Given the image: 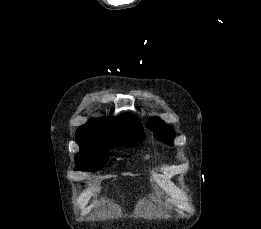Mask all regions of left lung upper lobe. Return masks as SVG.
Listing matches in <instances>:
<instances>
[{"instance_id":"obj_1","label":"left lung upper lobe","mask_w":261,"mask_h":229,"mask_svg":"<svg viewBox=\"0 0 261 229\" xmlns=\"http://www.w3.org/2000/svg\"><path fill=\"white\" fill-rule=\"evenodd\" d=\"M149 126L159 140L173 145L172 139L175 137V132L172 127L166 125L158 117H152L149 121Z\"/></svg>"}]
</instances>
